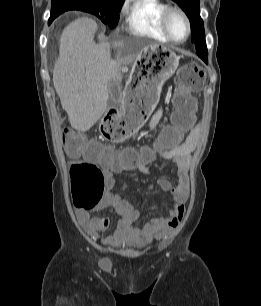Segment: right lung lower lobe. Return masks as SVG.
<instances>
[{"mask_svg":"<svg viewBox=\"0 0 261 306\" xmlns=\"http://www.w3.org/2000/svg\"><path fill=\"white\" fill-rule=\"evenodd\" d=\"M55 18H49V24L54 20Z\"/></svg>","mask_w":261,"mask_h":306,"instance_id":"right-lung-lower-lobe-1","label":"right lung lower lobe"}]
</instances>
